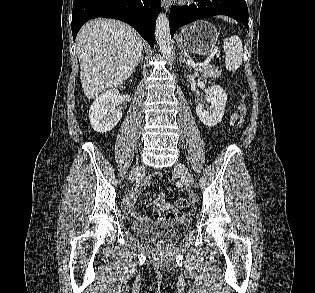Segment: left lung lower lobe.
Segmentation results:
<instances>
[{"mask_svg": "<svg viewBox=\"0 0 315 293\" xmlns=\"http://www.w3.org/2000/svg\"><path fill=\"white\" fill-rule=\"evenodd\" d=\"M215 15L232 17L248 29V9L245 0H195L190 6L172 5L169 15L171 38L180 27Z\"/></svg>", "mask_w": 315, "mask_h": 293, "instance_id": "0a47b994", "label": "left lung lower lobe"}]
</instances>
